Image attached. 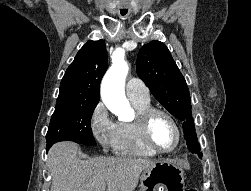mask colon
Wrapping results in <instances>:
<instances>
[{"mask_svg":"<svg viewBox=\"0 0 251 191\" xmlns=\"http://www.w3.org/2000/svg\"><path fill=\"white\" fill-rule=\"evenodd\" d=\"M190 191H196V189H191Z\"/></svg>","mask_w":251,"mask_h":191,"instance_id":"1","label":"colon"}]
</instances>
